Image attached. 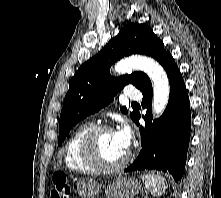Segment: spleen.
I'll list each match as a JSON object with an SVG mask.
<instances>
[{"label": "spleen", "instance_id": "obj_1", "mask_svg": "<svg viewBox=\"0 0 221 198\" xmlns=\"http://www.w3.org/2000/svg\"><path fill=\"white\" fill-rule=\"evenodd\" d=\"M141 178L146 188L153 196L159 197L165 193L167 188L166 181L161 175L155 174L154 172H149L143 174Z\"/></svg>", "mask_w": 221, "mask_h": 198}]
</instances>
